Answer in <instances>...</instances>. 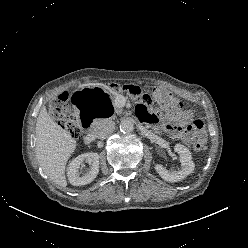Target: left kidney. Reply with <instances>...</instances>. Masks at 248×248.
<instances>
[{
	"label": "left kidney",
	"instance_id": "left-kidney-1",
	"mask_svg": "<svg viewBox=\"0 0 248 248\" xmlns=\"http://www.w3.org/2000/svg\"><path fill=\"white\" fill-rule=\"evenodd\" d=\"M174 151L177 152L180 156V162L182 165L181 170L179 171H168L160 164L155 165V170L157 173L168 182H178L194 171V163L192 161V155L190 150L182 144H176Z\"/></svg>",
	"mask_w": 248,
	"mask_h": 248
}]
</instances>
